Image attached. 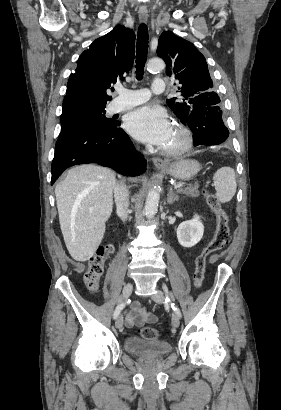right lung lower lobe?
<instances>
[{
	"mask_svg": "<svg viewBox=\"0 0 281 410\" xmlns=\"http://www.w3.org/2000/svg\"><path fill=\"white\" fill-rule=\"evenodd\" d=\"M119 125L120 122H114L108 126L84 127L58 138L51 184L66 168L78 164L96 163L126 176L144 173L146 160Z\"/></svg>",
	"mask_w": 281,
	"mask_h": 410,
	"instance_id": "right-lung-lower-lobe-1",
	"label": "right lung lower lobe"
}]
</instances>
